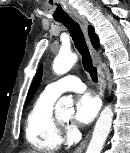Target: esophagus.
<instances>
[{
    "mask_svg": "<svg viewBox=\"0 0 130 153\" xmlns=\"http://www.w3.org/2000/svg\"><path fill=\"white\" fill-rule=\"evenodd\" d=\"M72 17L74 20H76L79 23V25L83 29L84 33L87 35L88 22H87L86 18L84 16L79 15V14H72ZM89 46H90V51H91L92 57L94 59V62L97 64L98 70L100 72V84H101L102 93H103L106 88V80H105V76H104V73H103L102 67H101V58H100L99 53L96 50H94V48L91 46V44H89ZM89 137H90V133H88L86 135V137L82 140V142L78 145V147L74 151L75 153H81L84 151V149L86 148V145L88 143Z\"/></svg>",
    "mask_w": 130,
    "mask_h": 153,
    "instance_id": "esophagus-1",
    "label": "esophagus"
}]
</instances>
